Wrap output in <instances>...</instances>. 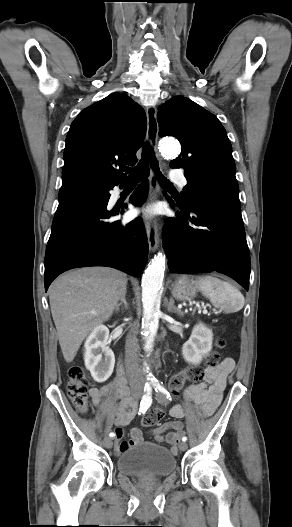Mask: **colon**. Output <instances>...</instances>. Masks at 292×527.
Here are the masks:
<instances>
[{
    "instance_id": "colon-1",
    "label": "colon",
    "mask_w": 292,
    "mask_h": 527,
    "mask_svg": "<svg viewBox=\"0 0 292 527\" xmlns=\"http://www.w3.org/2000/svg\"><path fill=\"white\" fill-rule=\"evenodd\" d=\"M225 339L219 337L216 340L217 349L225 347ZM220 361V354L218 351L213 352L206 363L207 368L215 367ZM86 369L82 366H73L68 371V379L66 384L67 394L73 405L80 412H85L88 407V389L89 383L86 376ZM205 377V370L201 367L186 368L179 374L175 375L170 381V387L174 394H178L181 386L189 382L191 384H198ZM164 416V410L159 407L149 409L141 420L144 427H151L159 424Z\"/></svg>"
}]
</instances>
